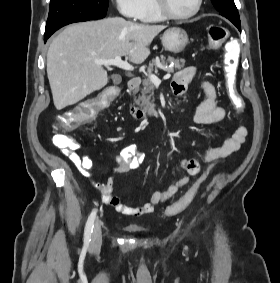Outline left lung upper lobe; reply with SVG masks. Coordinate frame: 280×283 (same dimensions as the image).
<instances>
[{"instance_id": "5c2ea615", "label": "left lung upper lobe", "mask_w": 280, "mask_h": 283, "mask_svg": "<svg viewBox=\"0 0 280 283\" xmlns=\"http://www.w3.org/2000/svg\"><path fill=\"white\" fill-rule=\"evenodd\" d=\"M214 7L222 13L231 22H240L238 10L235 6L234 0H211Z\"/></svg>"}]
</instances>
